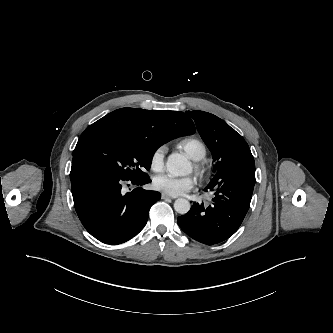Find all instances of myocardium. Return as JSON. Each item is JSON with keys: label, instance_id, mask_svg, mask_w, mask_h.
<instances>
[{"label": "myocardium", "instance_id": "myocardium-1", "mask_svg": "<svg viewBox=\"0 0 333 333\" xmlns=\"http://www.w3.org/2000/svg\"><path fill=\"white\" fill-rule=\"evenodd\" d=\"M193 170L199 178L203 177L206 172V166L203 160H194L193 162Z\"/></svg>", "mask_w": 333, "mask_h": 333}]
</instances>
